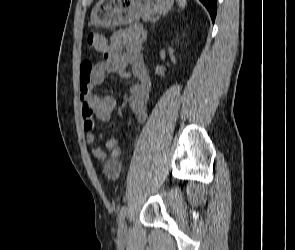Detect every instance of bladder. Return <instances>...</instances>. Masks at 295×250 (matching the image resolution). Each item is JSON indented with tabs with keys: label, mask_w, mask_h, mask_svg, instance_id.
I'll use <instances>...</instances> for the list:
<instances>
[{
	"label": "bladder",
	"mask_w": 295,
	"mask_h": 250,
	"mask_svg": "<svg viewBox=\"0 0 295 250\" xmlns=\"http://www.w3.org/2000/svg\"><path fill=\"white\" fill-rule=\"evenodd\" d=\"M106 176L115 178L119 173V165L114 160H107L104 165Z\"/></svg>",
	"instance_id": "obj_1"
}]
</instances>
